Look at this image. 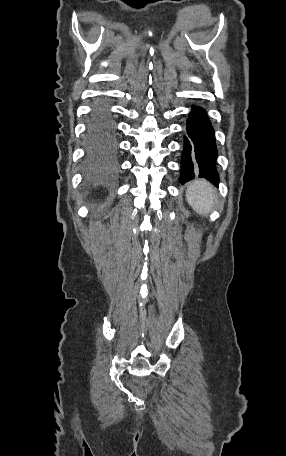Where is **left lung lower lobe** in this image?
<instances>
[{"label": "left lung lower lobe", "instance_id": "obj_1", "mask_svg": "<svg viewBox=\"0 0 286 456\" xmlns=\"http://www.w3.org/2000/svg\"><path fill=\"white\" fill-rule=\"evenodd\" d=\"M216 157L217 148L212 125L206 112L202 108L194 106L187 120V135L184 137L181 184L198 175L218 185Z\"/></svg>", "mask_w": 286, "mask_h": 456}]
</instances>
